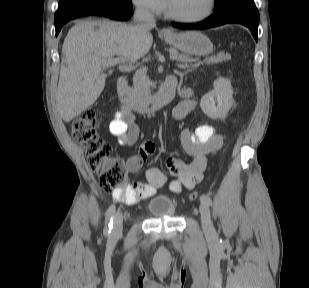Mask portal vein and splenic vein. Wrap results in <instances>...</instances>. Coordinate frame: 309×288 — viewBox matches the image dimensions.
<instances>
[{"mask_svg": "<svg viewBox=\"0 0 309 288\" xmlns=\"http://www.w3.org/2000/svg\"><path fill=\"white\" fill-rule=\"evenodd\" d=\"M120 63H124V60L121 59V58H109V59H106V60L103 62V64H104L105 66H114V65H117V64H120ZM133 63H135V61H133ZM199 64H200V63L198 62V63L193 64L192 66H193V67H196V66H198Z\"/></svg>", "mask_w": 309, "mask_h": 288, "instance_id": "1", "label": "portal vein and splenic vein"}]
</instances>
